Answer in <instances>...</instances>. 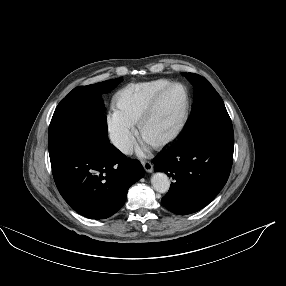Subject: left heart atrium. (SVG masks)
<instances>
[{
  "instance_id": "39dd6f15",
  "label": "left heart atrium",
  "mask_w": 286,
  "mask_h": 286,
  "mask_svg": "<svg viewBox=\"0 0 286 286\" xmlns=\"http://www.w3.org/2000/svg\"><path fill=\"white\" fill-rule=\"evenodd\" d=\"M148 144H149V142L146 141V144H145V147H146V148H149V147H148Z\"/></svg>"
}]
</instances>
